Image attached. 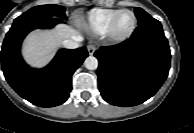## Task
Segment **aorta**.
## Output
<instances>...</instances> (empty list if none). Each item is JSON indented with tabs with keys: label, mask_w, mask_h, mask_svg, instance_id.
Segmentation results:
<instances>
[{
	"label": "aorta",
	"mask_w": 194,
	"mask_h": 133,
	"mask_svg": "<svg viewBox=\"0 0 194 133\" xmlns=\"http://www.w3.org/2000/svg\"><path fill=\"white\" fill-rule=\"evenodd\" d=\"M84 65L89 70H95L98 68V60L94 56H89L85 59Z\"/></svg>",
	"instance_id": "aorta-1"
}]
</instances>
